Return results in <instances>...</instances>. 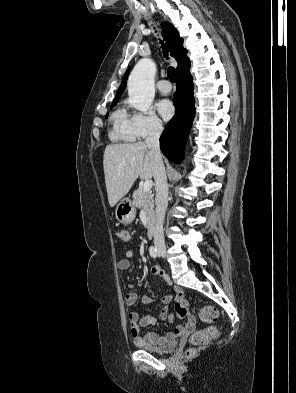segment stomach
Here are the masks:
<instances>
[{
  "label": "stomach",
  "mask_w": 296,
  "mask_h": 393,
  "mask_svg": "<svg viewBox=\"0 0 296 393\" xmlns=\"http://www.w3.org/2000/svg\"><path fill=\"white\" fill-rule=\"evenodd\" d=\"M116 218L123 224L133 222L136 216V208L129 198L122 199L115 210Z\"/></svg>",
  "instance_id": "0dacf381"
}]
</instances>
